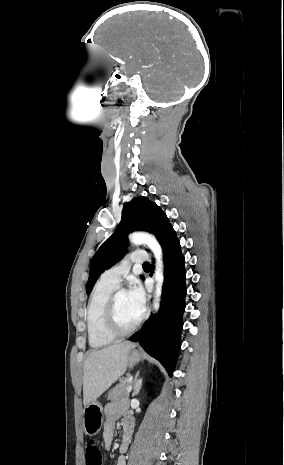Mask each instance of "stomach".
<instances>
[{"mask_svg":"<svg viewBox=\"0 0 284 465\" xmlns=\"http://www.w3.org/2000/svg\"><path fill=\"white\" fill-rule=\"evenodd\" d=\"M141 359L142 355H140L139 351H130L127 357V363L129 367H134ZM103 421V407L98 401L89 403V405L83 409V429L85 435H88V437H95V435H98L99 431L102 429Z\"/></svg>","mask_w":284,"mask_h":465,"instance_id":"obj_1","label":"stomach"}]
</instances>
